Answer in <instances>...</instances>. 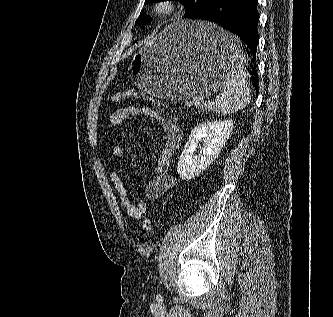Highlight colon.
Here are the masks:
<instances>
[{"instance_id":"colon-1","label":"colon","mask_w":333,"mask_h":317,"mask_svg":"<svg viewBox=\"0 0 333 317\" xmlns=\"http://www.w3.org/2000/svg\"><path fill=\"white\" fill-rule=\"evenodd\" d=\"M140 97V95L133 89H124L121 91H117L112 95V100L113 101H119L122 99H127V98H136ZM153 228L152 221L149 218L144 219L143 221V229L146 232H151Z\"/></svg>"}]
</instances>
